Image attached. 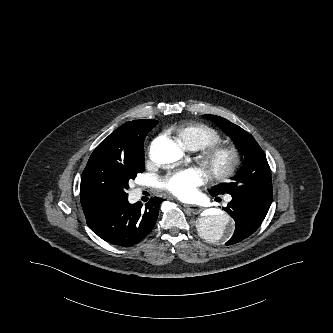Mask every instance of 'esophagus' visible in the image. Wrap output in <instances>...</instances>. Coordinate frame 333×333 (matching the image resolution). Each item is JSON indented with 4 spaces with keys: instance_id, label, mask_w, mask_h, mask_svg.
Instances as JSON below:
<instances>
[{
    "instance_id": "34e87169",
    "label": "esophagus",
    "mask_w": 333,
    "mask_h": 333,
    "mask_svg": "<svg viewBox=\"0 0 333 333\" xmlns=\"http://www.w3.org/2000/svg\"><path fill=\"white\" fill-rule=\"evenodd\" d=\"M183 206L193 214H199L202 211V208L195 204H183Z\"/></svg>"
}]
</instances>
